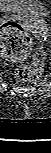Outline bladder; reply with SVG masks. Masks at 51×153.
I'll return each instance as SVG.
<instances>
[{"instance_id": "obj_1", "label": "bladder", "mask_w": 51, "mask_h": 153, "mask_svg": "<svg viewBox=\"0 0 51 153\" xmlns=\"http://www.w3.org/2000/svg\"><path fill=\"white\" fill-rule=\"evenodd\" d=\"M0 7L6 13L45 17L46 7L41 0H0Z\"/></svg>"}]
</instances>
